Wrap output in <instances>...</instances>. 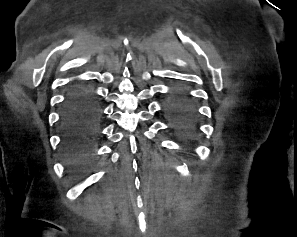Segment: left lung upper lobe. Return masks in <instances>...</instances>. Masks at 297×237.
<instances>
[{
    "mask_svg": "<svg viewBox=\"0 0 297 237\" xmlns=\"http://www.w3.org/2000/svg\"><path fill=\"white\" fill-rule=\"evenodd\" d=\"M188 98H186V97H184L183 96V98L181 97V98H179V100H187Z\"/></svg>",
    "mask_w": 297,
    "mask_h": 237,
    "instance_id": "5c2ea615",
    "label": "left lung upper lobe"
}]
</instances>
